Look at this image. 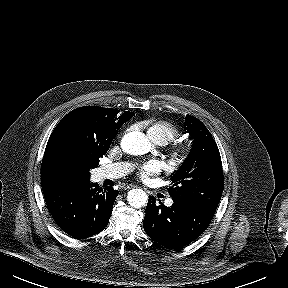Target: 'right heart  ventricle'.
Masks as SVG:
<instances>
[{"label":"right heart ventricle","mask_w":288,"mask_h":288,"mask_svg":"<svg viewBox=\"0 0 288 288\" xmlns=\"http://www.w3.org/2000/svg\"><path fill=\"white\" fill-rule=\"evenodd\" d=\"M148 137L157 144H166L180 134V129L167 120L145 121Z\"/></svg>","instance_id":"e07e8e85"}]
</instances>
